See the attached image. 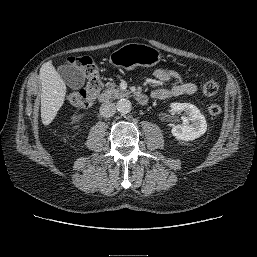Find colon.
Segmentation results:
<instances>
[{"label": "colon", "instance_id": "colon-1", "mask_svg": "<svg viewBox=\"0 0 257 257\" xmlns=\"http://www.w3.org/2000/svg\"><path fill=\"white\" fill-rule=\"evenodd\" d=\"M69 63L81 70L86 79V86L79 91L69 93L68 101L77 107H89L102 88L98 67L89 56L72 57ZM218 88V83L214 79H208L203 84L202 91L204 95L212 96L217 93ZM208 112L212 116H218L222 112V107L218 103H212Z\"/></svg>", "mask_w": 257, "mask_h": 257}]
</instances>
